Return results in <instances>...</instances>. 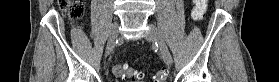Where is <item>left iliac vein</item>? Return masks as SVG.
Instances as JSON below:
<instances>
[{
	"label": "left iliac vein",
	"mask_w": 279,
	"mask_h": 82,
	"mask_svg": "<svg viewBox=\"0 0 279 82\" xmlns=\"http://www.w3.org/2000/svg\"><path fill=\"white\" fill-rule=\"evenodd\" d=\"M148 25H149V31L145 34V37L148 40H151V41L155 42L156 44H158L163 62L166 65L171 66L173 63L172 55H171L163 37L161 36L159 30L157 29V27L155 25H153L151 23H149Z\"/></svg>",
	"instance_id": "obj_1"
}]
</instances>
